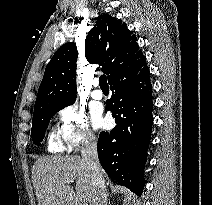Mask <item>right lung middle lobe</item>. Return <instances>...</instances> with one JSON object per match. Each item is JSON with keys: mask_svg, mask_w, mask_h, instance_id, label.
Returning <instances> with one entry per match:
<instances>
[{"mask_svg": "<svg viewBox=\"0 0 212 205\" xmlns=\"http://www.w3.org/2000/svg\"><path fill=\"white\" fill-rule=\"evenodd\" d=\"M69 105H45L34 110L31 138L36 145H40V142L43 140L50 119L59 110Z\"/></svg>", "mask_w": 212, "mask_h": 205, "instance_id": "1", "label": "right lung middle lobe"}]
</instances>
